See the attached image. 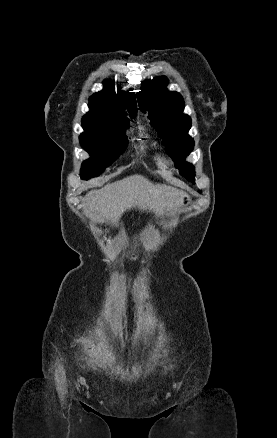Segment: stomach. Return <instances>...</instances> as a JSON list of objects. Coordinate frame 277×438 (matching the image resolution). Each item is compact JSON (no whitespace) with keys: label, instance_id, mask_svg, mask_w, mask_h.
Returning <instances> with one entry per match:
<instances>
[{"label":"stomach","instance_id":"stomach-1","mask_svg":"<svg viewBox=\"0 0 277 438\" xmlns=\"http://www.w3.org/2000/svg\"><path fill=\"white\" fill-rule=\"evenodd\" d=\"M190 200H191L190 197L186 194H183L180 197V203L183 207H188L190 205Z\"/></svg>","mask_w":277,"mask_h":438}]
</instances>
